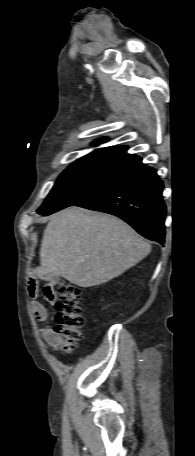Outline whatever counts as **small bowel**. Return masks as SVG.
<instances>
[{"instance_id":"c3829d8e","label":"small bowel","mask_w":195,"mask_h":456,"mask_svg":"<svg viewBox=\"0 0 195 456\" xmlns=\"http://www.w3.org/2000/svg\"><path fill=\"white\" fill-rule=\"evenodd\" d=\"M40 277L45 280V285L43 286L42 290L39 289L38 281L36 278L32 277L29 282V293L34 298L31 303L34 316L40 321H46L48 318L47 309L38 300V298L40 297V294H43L47 300H53V287L56 279L52 274L41 275ZM41 335L46 342L52 345H56L60 342V335L55 332L53 328H43L41 330Z\"/></svg>"}]
</instances>
